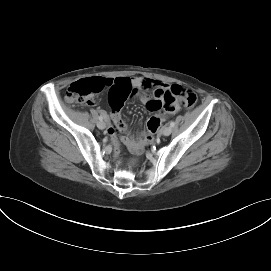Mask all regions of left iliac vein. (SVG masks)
Listing matches in <instances>:
<instances>
[{
	"label": "left iliac vein",
	"mask_w": 271,
	"mask_h": 271,
	"mask_svg": "<svg viewBox=\"0 0 271 271\" xmlns=\"http://www.w3.org/2000/svg\"><path fill=\"white\" fill-rule=\"evenodd\" d=\"M172 132V128L170 126H166L162 129V134L164 136H169Z\"/></svg>",
	"instance_id": "1"
}]
</instances>
